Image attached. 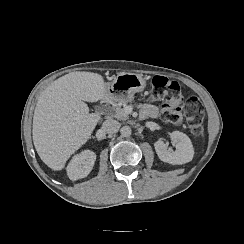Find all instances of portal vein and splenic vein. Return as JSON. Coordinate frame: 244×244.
I'll return each instance as SVG.
<instances>
[{
    "mask_svg": "<svg viewBox=\"0 0 244 244\" xmlns=\"http://www.w3.org/2000/svg\"><path fill=\"white\" fill-rule=\"evenodd\" d=\"M125 115H128L132 112V108L131 107H125L122 111Z\"/></svg>",
    "mask_w": 244,
    "mask_h": 244,
    "instance_id": "portal-vein-and-splenic-vein-1",
    "label": "portal vein and splenic vein"
}]
</instances>
